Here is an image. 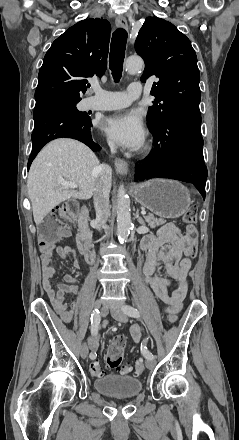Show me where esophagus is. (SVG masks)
I'll return each mask as SVG.
<instances>
[{"label":"esophagus","mask_w":239,"mask_h":440,"mask_svg":"<svg viewBox=\"0 0 239 440\" xmlns=\"http://www.w3.org/2000/svg\"><path fill=\"white\" fill-rule=\"evenodd\" d=\"M115 23H116L117 27L123 28L124 30H128V22H127L126 18L123 17L122 15H119L116 18ZM114 165H115L116 172L120 173L121 175H127L128 165L125 160H123L122 158H116Z\"/></svg>","instance_id":"1"}]
</instances>
